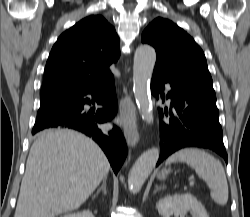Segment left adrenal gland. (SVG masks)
I'll return each instance as SVG.
<instances>
[{"instance_id":"a2214340","label":"left adrenal gland","mask_w":250,"mask_h":217,"mask_svg":"<svg viewBox=\"0 0 250 217\" xmlns=\"http://www.w3.org/2000/svg\"><path fill=\"white\" fill-rule=\"evenodd\" d=\"M166 187L163 185V186H156V189L154 191V193H157L159 190H164Z\"/></svg>"}]
</instances>
